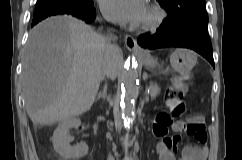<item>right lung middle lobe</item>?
Segmentation results:
<instances>
[{"instance_id":"right-lung-middle-lobe-1","label":"right lung middle lobe","mask_w":242,"mask_h":160,"mask_svg":"<svg viewBox=\"0 0 242 160\" xmlns=\"http://www.w3.org/2000/svg\"><path fill=\"white\" fill-rule=\"evenodd\" d=\"M92 7V0H37L34 15L54 8L72 10Z\"/></svg>"}]
</instances>
